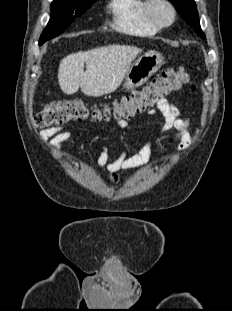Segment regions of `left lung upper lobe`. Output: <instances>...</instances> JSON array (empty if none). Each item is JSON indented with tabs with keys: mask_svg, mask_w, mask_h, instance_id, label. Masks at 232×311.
<instances>
[{
	"mask_svg": "<svg viewBox=\"0 0 232 311\" xmlns=\"http://www.w3.org/2000/svg\"><path fill=\"white\" fill-rule=\"evenodd\" d=\"M171 1L176 10L180 13L183 19L188 22L194 30L198 33L199 36L205 38V34L202 32L198 12L196 9V4L194 0H169Z\"/></svg>",
	"mask_w": 232,
	"mask_h": 311,
	"instance_id": "1",
	"label": "left lung upper lobe"
}]
</instances>
